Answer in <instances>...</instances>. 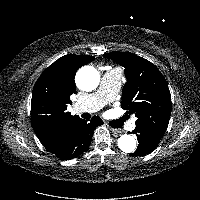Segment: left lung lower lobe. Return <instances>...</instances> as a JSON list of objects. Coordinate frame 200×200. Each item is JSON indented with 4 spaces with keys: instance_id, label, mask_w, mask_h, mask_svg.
I'll use <instances>...</instances> for the list:
<instances>
[{
    "instance_id": "left-lung-lower-lobe-1",
    "label": "left lung lower lobe",
    "mask_w": 200,
    "mask_h": 200,
    "mask_svg": "<svg viewBox=\"0 0 200 200\" xmlns=\"http://www.w3.org/2000/svg\"><path fill=\"white\" fill-rule=\"evenodd\" d=\"M133 133L136 134L139 145L137 150L130 154L131 156H143L149 154L157 147L162 138V136L154 133L150 129L142 127H136L133 130Z\"/></svg>"
}]
</instances>
